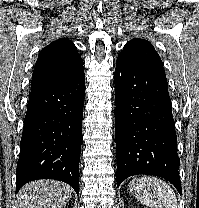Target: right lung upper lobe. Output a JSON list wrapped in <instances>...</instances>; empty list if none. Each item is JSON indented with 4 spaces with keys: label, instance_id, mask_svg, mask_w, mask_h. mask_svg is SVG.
I'll list each match as a JSON object with an SVG mask.
<instances>
[{
    "label": "right lung upper lobe",
    "instance_id": "cb5924a9",
    "mask_svg": "<svg viewBox=\"0 0 199 208\" xmlns=\"http://www.w3.org/2000/svg\"><path fill=\"white\" fill-rule=\"evenodd\" d=\"M83 75V60L75 45L68 38H61L40 52L32 75L31 91L69 83Z\"/></svg>",
    "mask_w": 199,
    "mask_h": 208
}]
</instances>
